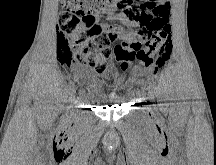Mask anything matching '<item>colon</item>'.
<instances>
[{
  "mask_svg": "<svg viewBox=\"0 0 216 165\" xmlns=\"http://www.w3.org/2000/svg\"><path fill=\"white\" fill-rule=\"evenodd\" d=\"M135 0H61L64 12L57 25V55L63 63L93 70L104 78L110 71L114 57L122 66L136 61L141 66L160 69L169 59L172 49L170 8L157 9L156 16L129 13L135 19L146 21L136 32L134 40L110 47V40L98 23L97 15L112 7L128 5ZM138 4V2H137ZM141 41H145L142 47Z\"/></svg>",
  "mask_w": 216,
  "mask_h": 165,
  "instance_id": "5ec220e1",
  "label": "colon"
}]
</instances>
